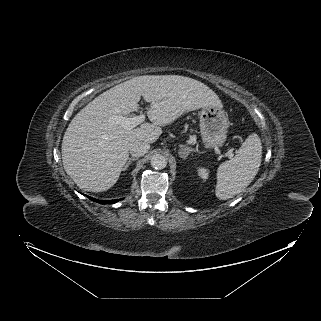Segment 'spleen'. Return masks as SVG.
<instances>
[{
    "label": "spleen",
    "instance_id": "1",
    "mask_svg": "<svg viewBox=\"0 0 321 321\" xmlns=\"http://www.w3.org/2000/svg\"><path fill=\"white\" fill-rule=\"evenodd\" d=\"M261 159V140L253 133L243 142L234 158L218 167L216 197L227 200L241 193L255 178Z\"/></svg>",
    "mask_w": 321,
    "mask_h": 321
}]
</instances>
